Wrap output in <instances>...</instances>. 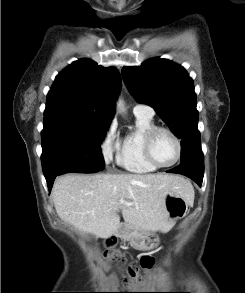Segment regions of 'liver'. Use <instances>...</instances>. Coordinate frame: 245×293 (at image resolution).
<instances>
[{
    "instance_id": "6515ba94",
    "label": "liver",
    "mask_w": 245,
    "mask_h": 293,
    "mask_svg": "<svg viewBox=\"0 0 245 293\" xmlns=\"http://www.w3.org/2000/svg\"><path fill=\"white\" fill-rule=\"evenodd\" d=\"M175 193L192 205L194 191L182 177L169 174H67L56 179L52 197L58 216L82 232L109 238L125 226L151 232L172 227L166 210L167 194ZM132 203L125 205L120 202Z\"/></svg>"
}]
</instances>
